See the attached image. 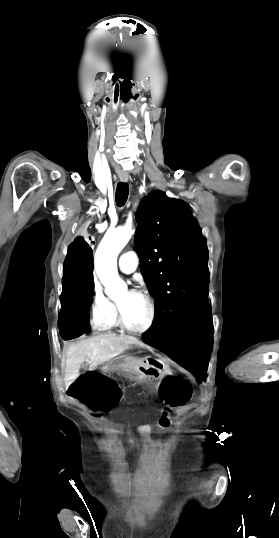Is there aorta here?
I'll return each mask as SVG.
<instances>
[{"label":"aorta","instance_id":"obj_1","mask_svg":"<svg viewBox=\"0 0 279 538\" xmlns=\"http://www.w3.org/2000/svg\"><path fill=\"white\" fill-rule=\"evenodd\" d=\"M133 234L132 226L127 224L108 230L98 246L94 264L96 273L111 299L122 297L127 292L126 283L119 277L117 257Z\"/></svg>","mask_w":279,"mask_h":538}]
</instances>
